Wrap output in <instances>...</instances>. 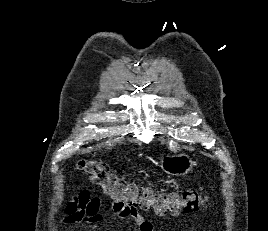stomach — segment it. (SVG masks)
Returning <instances> with one entry per match:
<instances>
[{
	"label": "stomach",
	"mask_w": 268,
	"mask_h": 231,
	"mask_svg": "<svg viewBox=\"0 0 268 231\" xmlns=\"http://www.w3.org/2000/svg\"><path fill=\"white\" fill-rule=\"evenodd\" d=\"M197 165L190 156L185 153L166 155L162 158L160 167L169 176H183L193 171Z\"/></svg>",
	"instance_id": "obj_1"
}]
</instances>
